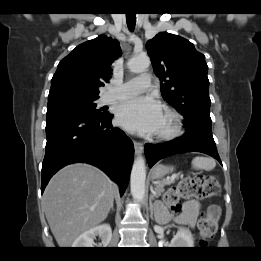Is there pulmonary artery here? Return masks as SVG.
<instances>
[{
	"label": "pulmonary artery",
	"mask_w": 261,
	"mask_h": 261,
	"mask_svg": "<svg viewBox=\"0 0 261 261\" xmlns=\"http://www.w3.org/2000/svg\"><path fill=\"white\" fill-rule=\"evenodd\" d=\"M151 87V76L149 74H140L120 86L109 89L102 96L103 103L123 98H131L138 93Z\"/></svg>",
	"instance_id": "pulmonary-artery-1"
}]
</instances>
